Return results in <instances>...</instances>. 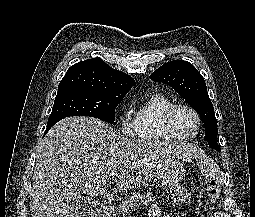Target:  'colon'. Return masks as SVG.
Here are the masks:
<instances>
[{
  "mask_svg": "<svg viewBox=\"0 0 255 217\" xmlns=\"http://www.w3.org/2000/svg\"><path fill=\"white\" fill-rule=\"evenodd\" d=\"M207 193L212 202H215L219 197V187L214 181L208 183ZM170 199L173 203H183L187 201V189L182 185L174 186L170 191Z\"/></svg>",
  "mask_w": 255,
  "mask_h": 217,
  "instance_id": "obj_1",
  "label": "colon"
}]
</instances>
